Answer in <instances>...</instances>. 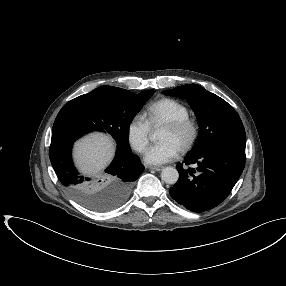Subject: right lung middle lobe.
Wrapping results in <instances>:
<instances>
[{
	"label": "right lung middle lobe",
	"instance_id": "right-lung-middle-lobe-1",
	"mask_svg": "<svg viewBox=\"0 0 286 286\" xmlns=\"http://www.w3.org/2000/svg\"><path fill=\"white\" fill-rule=\"evenodd\" d=\"M154 93L155 90H146L134 94L122 88L102 86L66 103L54 123L72 131L77 137L92 131L107 132L118 147L127 148L130 123ZM127 196L124 187L111 198L97 190L80 202L91 210L101 212L124 201Z\"/></svg>",
	"mask_w": 286,
	"mask_h": 286
}]
</instances>
